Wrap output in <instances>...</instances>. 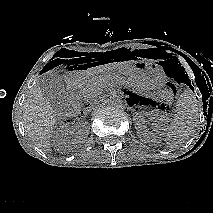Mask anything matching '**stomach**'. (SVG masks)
<instances>
[{"label":"stomach","mask_w":213,"mask_h":213,"mask_svg":"<svg viewBox=\"0 0 213 213\" xmlns=\"http://www.w3.org/2000/svg\"><path fill=\"white\" fill-rule=\"evenodd\" d=\"M123 76L128 81L147 91L159 90L166 83L162 67L153 61H136L122 66L106 65L102 70L90 69L84 73L68 76L69 84H86L92 80H100L103 76Z\"/></svg>","instance_id":"obj_1"}]
</instances>
